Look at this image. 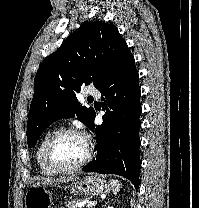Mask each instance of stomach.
<instances>
[{"mask_svg":"<svg viewBox=\"0 0 199 208\" xmlns=\"http://www.w3.org/2000/svg\"><path fill=\"white\" fill-rule=\"evenodd\" d=\"M110 184L99 176H86L69 185L70 192L75 195L95 196L107 193ZM25 208H51L53 193L46 185H35L25 195Z\"/></svg>","mask_w":199,"mask_h":208,"instance_id":"stomach-1","label":"stomach"}]
</instances>
